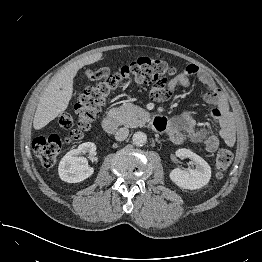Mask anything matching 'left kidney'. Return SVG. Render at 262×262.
<instances>
[{
  "label": "left kidney",
  "mask_w": 262,
  "mask_h": 262,
  "mask_svg": "<svg viewBox=\"0 0 262 262\" xmlns=\"http://www.w3.org/2000/svg\"><path fill=\"white\" fill-rule=\"evenodd\" d=\"M176 156L192 160L195 165V169H173L169 175L172 182L180 188L189 190L200 189L208 184L211 178V168L203 158L184 148L178 149L176 151Z\"/></svg>",
  "instance_id": "5707ae66"
}]
</instances>
